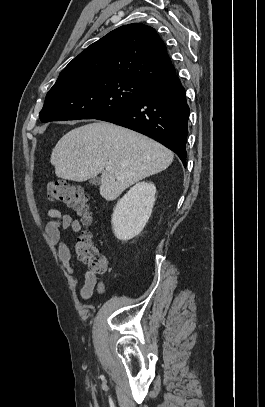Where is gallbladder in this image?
<instances>
[{"label":"gallbladder","instance_id":"obj_1","mask_svg":"<svg viewBox=\"0 0 265 407\" xmlns=\"http://www.w3.org/2000/svg\"><path fill=\"white\" fill-rule=\"evenodd\" d=\"M90 182L93 184V185H99L100 184V178H93V179H91L90 180Z\"/></svg>","mask_w":265,"mask_h":407}]
</instances>
